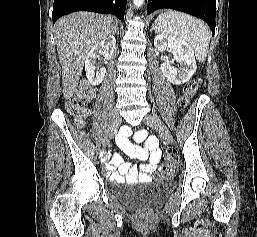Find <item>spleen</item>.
<instances>
[{
	"label": "spleen",
	"instance_id": "obj_1",
	"mask_svg": "<svg viewBox=\"0 0 257 237\" xmlns=\"http://www.w3.org/2000/svg\"><path fill=\"white\" fill-rule=\"evenodd\" d=\"M155 30L161 35L186 42L193 50L197 60L205 61L210 43V33L202 21L184 13L167 11L156 18Z\"/></svg>",
	"mask_w": 257,
	"mask_h": 237
}]
</instances>
